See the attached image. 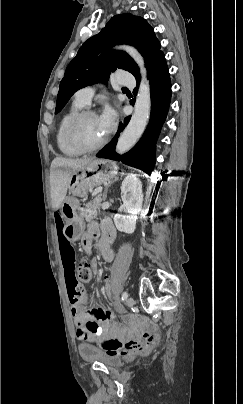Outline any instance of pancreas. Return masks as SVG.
Wrapping results in <instances>:
<instances>
[{"mask_svg": "<svg viewBox=\"0 0 243 404\" xmlns=\"http://www.w3.org/2000/svg\"><path fill=\"white\" fill-rule=\"evenodd\" d=\"M101 200V194H97V196H95V198H93L91 202H88V204H86L84 210H82V213H84L83 218H85L87 222H90V220L96 218L97 212H99L100 210Z\"/></svg>", "mask_w": 243, "mask_h": 404, "instance_id": "1", "label": "pancreas"}]
</instances>
